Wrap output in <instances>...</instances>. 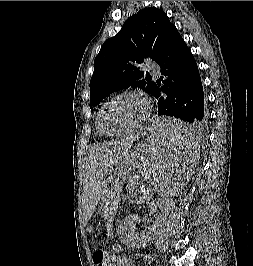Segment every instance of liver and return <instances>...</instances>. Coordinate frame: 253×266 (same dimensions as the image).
<instances>
[{
    "mask_svg": "<svg viewBox=\"0 0 253 266\" xmlns=\"http://www.w3.org/2000/svg\"><path fill=\"white\" fill-rule=\"evenodd\" d=\"M134 138V136H129L125 139L112 141L90 149L85 162L87 183L84 188L85 200L89 204L88 217L93 213L104 191L105 181L103 179L113 158L120 154Z\"/></svg>",
    "mask_w": 253,
    "mask_h": 266,
    "instance_id": "1",
    "label": "liver"
}]
</instances>
